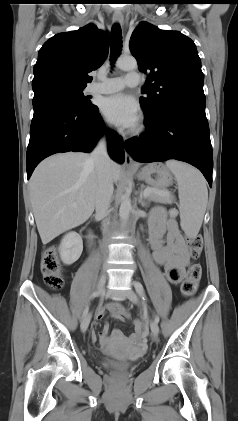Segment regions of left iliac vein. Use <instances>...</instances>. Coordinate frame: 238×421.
Listing matches in <instances>:
<instances>
[{
    "label": "left iliac vein",
    "mask_w": 238,
    "mask_h": 421,
    "mask_svg": "<svg viewBox=\"0 0 238 421\" xmlns=\"http://www.w3.org/2000/svg\"><path fill=\"white\" fill-rule=\"evenodd\" d=\"M128 298H129V300L131 302H133L135 304L138 303V297H137V295H136V293L134 291L130 290L128 292ZM150 328H151V334H152V336L154 338H156L158 336V334H159V326H158V323L155 322L154 320H151V322H150Z\"/></svg>",
    "instance_id": "left-iliac-vein-1"
}]
</instances>
